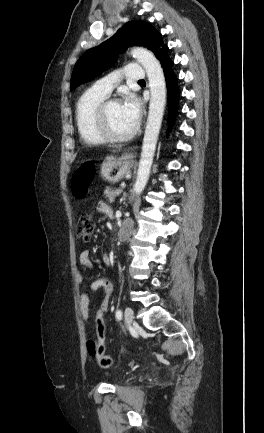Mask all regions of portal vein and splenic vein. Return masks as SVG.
Here are the masks:
<instances>
[{"instance_id":"portal-vein-and-splenic-vein-1","label":"portal vein and splenic vein","mask_w":264,"mask_h":433,"mask_svg":"<svg viewBox=\"0 0 264 433\" xmlns=\"http://www.w3.org/2000/svg\"><path fill=\"white\" fill-rule=\"evenodd\" d=\"M121 192H122L121 189H117L115 193H116L117 195H119V194H121Z\"/></svg>"}]
</instances>
